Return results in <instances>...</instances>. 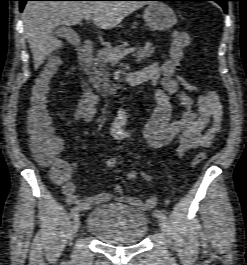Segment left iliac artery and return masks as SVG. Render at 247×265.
<instances>
[{
    "instance_id": "44dca946",
    "label": "left iliac artery",
    "mask_w": 247,
    "mask_h": 265,
    "mask_svg": "<svg viewBox=\"0 0 247 265\" xmlns=\"http://www.w3.org/2000/svg\"><path fill=\"white\" fill-rule=\"evenodd\" d=\"M156 215L159 218H162L164 220H167V216L163 212H161V211H157V214Z\"/></svg>"
}]
</instances>
